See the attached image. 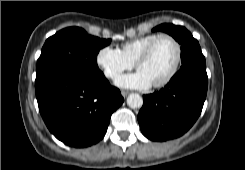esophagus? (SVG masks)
Returning a JSON list of instances; mask_svg holds the SVG:
<instances>
[{"mask_svg": "<svg viewBox=\"0 0 245 170\" xmlns=\"http://www.w3.org/2000/svg\"><path fill=\"white\" fill-rule=\"evenodd\" d=\"M121 94L123 97H126L129 94V92L128 91H121Z\"/></svg>", "mask_w": 245, "mask_h": 170, "instance_id": "1", "label": "esophagus"}]
</instances>
